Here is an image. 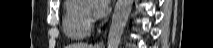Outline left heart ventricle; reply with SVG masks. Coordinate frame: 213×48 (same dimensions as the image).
Listing matches in <instances>:
<instances>
[{
  "mask_svg": "<svg viewBox=\"0 0 213 48\" xmlns=\"http://www.w3.org/2000/svg\"><path fill=\"white\" fill-rule=\"evenodd\" d=\"M92 7H93V5H92V4H89V5H85L83 8H84L85 11L91 12Z\"/></svg>",
  "mask_w": 213,
  "mask_h": 48,
  "instance_id": "b2bd125f",
  "label": "left heart ventricle"
}]
</instances>
